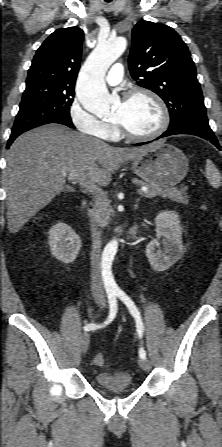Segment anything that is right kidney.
Instances as JSON below:
<instances>
[{
  "mask_svg": "<svg viewBox=\"0 0 222 447\" xmlns=\"http://www.w3.org/2000/svg\"><path fill=\"white\" fill-rule=\"evenodd\" d=\"M48 234V244L53 256L65 264L73 262L81 248L79 235L65 223L52 226Z\"/></svg>",
  "mask_w": 222,
  "mask_h": 447,
  "instance_id": "ca27d5eb",
  "label": "right kidney"
}]
</instances>
